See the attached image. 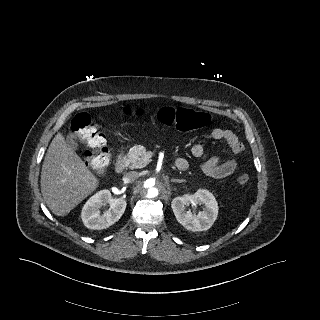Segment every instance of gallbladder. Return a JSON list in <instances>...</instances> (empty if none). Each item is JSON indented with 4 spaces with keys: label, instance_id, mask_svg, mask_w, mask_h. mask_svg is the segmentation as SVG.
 Listing matches in <instances>:
<instances>
[{
    "label": "gallbladder",
    "instance_id": "1",
    "mask_svg": "<svg viewBox=\"0 0 320 320\" xmlns=\"http://www.w3.org/2000/svg\"><path fill=\"white\" fill-rule=\"evenodd\" d=\"M67 143H68L69 146L72 147L73 149H76V148H77V144L75 143V141L73 140V138L71 137V135H68Z\"/></svg>",
    "mask_w": 320,
    "mask_h": 320
}]
</instances>
